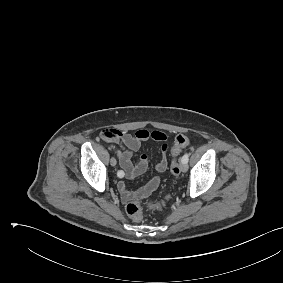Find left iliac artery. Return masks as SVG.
Listing matches in <instances>:
<instances>
[{
	"mask_svg": "<svg viewBox=\"0 0 283 283\" xmlns=\"http://www.w3.org/2000/svg\"><path fill=\"white\" fill-rule=\"evenodd\" d=\"M188 160H189V154L186 153V154L182 157L181 161H182L183 163H187Z\"/></svg>",
	"mask_w": 283,
	"mask_h": 283,
	"instance_id": "obj_1",
	"label": "left iliac artery"
}]
</instances>
